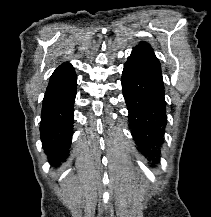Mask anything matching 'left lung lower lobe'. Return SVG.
<instances>
[{
	"label": "left lung lower lobe",
	"instance_id": "1",
	"mask_svg": "<svg viewBox=\"0 0 211 217\" xmlns=\"http://www.w3.org/2000/svg\"><path fill=\"white\" fill-rule=\"evenodd\" d=\"M121 82L135 143L154 164L164 141L167 123L164 87L127 64L124 65Z\"/></svg>",
	"mask_w": 211,
	"mask_h": 217
}]
</instances>
